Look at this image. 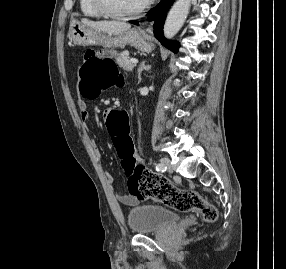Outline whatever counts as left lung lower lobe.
Wrapping results in <instances>:
<instances>
[{
    "label": "left lung lower lobe",
    "mask_w": 286,
    "mask_h": 269,
    "mask_svg": "<svg viewBox=\"0 0 286 269\" xmlns=\"http://www.w3.org/2000/svg\"><path fill=\"white\" fill-rule=\"evenodd\" d=\"M174 0H161L159 5L154 7L150 12L149 20H155L154 33L155 37L167 48L177 52L179 44L173 41H167L163 36V25L166 18V12L172 5ZM133 24H138L137 21H131Z\"/></svg>",
    "instance_id": "obj_1"
}]
</instances>
